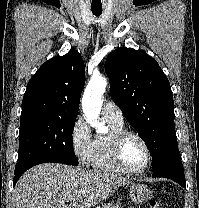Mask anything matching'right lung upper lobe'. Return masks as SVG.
I'll list each match as a JSON object with an SVG mask.
<instances>
[{"label":"right lung upper lobe","instance_id":"cb5924a9","mask_svg":"<svg viewBox=\"0 0 199 208\" xmlns=\"http://www.w3.org/2000/svg\"><path fill=\"white\" fill-rule=\"evenodd\" d=\"M84 84L85 67L78 51L54 57L42 64L27 84L21 114L76 117Z\"/></svg>","mask_w":199,"mask_h":208}]
</instances>
